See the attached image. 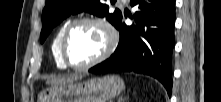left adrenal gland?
I'll return each instance as SVG.
<instances>
[{
    "instance_id": "obj_1",
    "label": "left adrenal gland",
    "mask_w": 221,
    "mask_h": 102,
    "mask_svg": "<svg viewBox=\"0 0 221 102\" xmlns=\"http://www.w3.org/2000/svg\"><path fill=\"white\" fill-rule=\"evenodd\" d=\"M124 101H125V99L122 97L118 99V102H124Z\"/></svg>"
}]
</instances>
